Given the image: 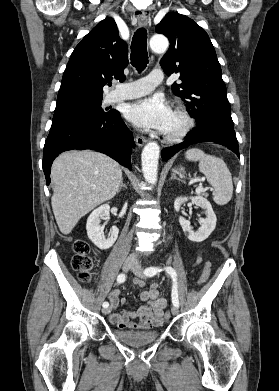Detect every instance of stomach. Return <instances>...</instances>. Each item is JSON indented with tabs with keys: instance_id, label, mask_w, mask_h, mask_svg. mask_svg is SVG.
<instances>
[{
	"instance_id": "1",
	"label": "stomach",
	"mask_w": 279,
	"mask_h": 391,
	"mask_svg": "<svg viewBox=\"0 0 279 391\" xmlns=\"http://www.w3.org/2000/svg\"><path fill=\"white\" fill-rule=\"evenodd\" d=\"M173 172H174V173H178V174L181 175L182 173H184V168H183V167H180L179 169H174Z\"/></svg>"
}]
</instances>
